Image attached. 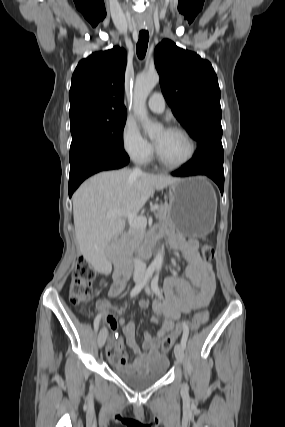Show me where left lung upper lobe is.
Masks as SVG:
<instances>
[{
    "instance_id": "5c2ea615",
    "label": "left lung upper lobe",
    "mask_w": 285,
    "mask_h": 427,
    "mask_svg": "<svg viewBox=\"0 0 285 427\" xmlns=\"http://www.w3.org/2000/svg\"><path fill=\"white\" fill-rule=\"evenodd\" d=\"M154 62L167 103L198 149L222 144L220 89L211 63L168 39L157 45Z\"/></svg>"
}]
</instances>
